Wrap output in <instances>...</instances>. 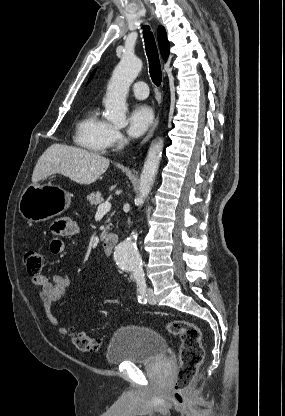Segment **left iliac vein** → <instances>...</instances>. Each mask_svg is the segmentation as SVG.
I'll list each match as a JSON object with an SVG mask.
<instances>
[{
    "label": "left iliac vein",
    "instance_id": "obj_1",
    "mask_svg": "<svg viewBox=\"0 0 285 416\" xmlns=\"http://www.w3.org/2000/svg\"><path fill=\"white\" fill-rule=\"evenodd\" d=\"M146 293H147L146 295H147L148 302L151 303V304H155L156 299H155L153 290L151 288H148Z\"/></svg>",
    "mask_w": 285,
    "mask_h": 416
}]
</instances>
